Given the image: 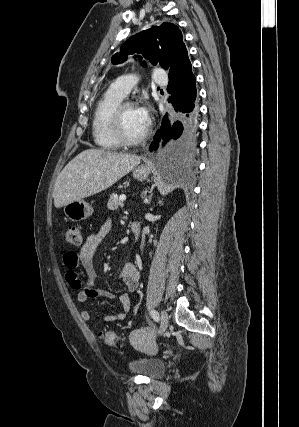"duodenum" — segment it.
I'll return each mask as SVG.
<instances>
[{
    "mask_svg": "<svg viewBox=\"0 0 299 427\" xmlns=\"http://www.w3.org/2000/svg\"><path fill=\"white\" fill-rule=\"evenodd\" d=\"M129 225L135 240H138L141 233V224L138 221H131Z\"/></svg>",
    "mask_w": 299,
    "mask_h": 427,
    "instance_id": "410a0bca",
    "label": "duodenum"
}]
</instances>
